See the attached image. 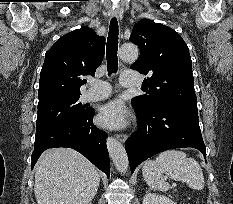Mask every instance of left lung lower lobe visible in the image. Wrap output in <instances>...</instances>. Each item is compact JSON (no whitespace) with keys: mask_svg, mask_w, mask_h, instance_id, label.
Returning <instances> with one entry per match:
<instances>
[{"mask_svg":"<svg viewBox=\"0 0 233 204\" xmlns=\"http://www.w3.org/2000/svg\"><path fill=\"white\" fill-rule=\"evenodd\" d=\"M134 109L140 117L139 130L125 143L132 173L141 162L169 149L192 147L206 156L197 106L161 102Z\"/></svg>","mask_w":233,"mask_h":204,"instance_id":"obj_1","label":"left lung lower lobe"}]
</instances>
